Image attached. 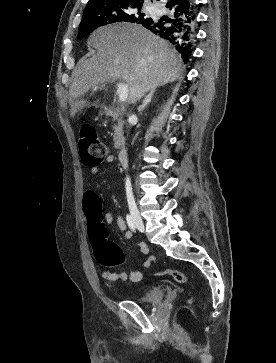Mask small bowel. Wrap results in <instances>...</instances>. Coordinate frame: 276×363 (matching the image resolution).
Here are the masks:
<instances>
[{
  "label": "small bowel",
  "instance_id": "1",
  "mask_svg": "<svg viewBox=\"0 0 276 363\" xmlns=\"http://www.w3.org/2000/svg\"><path fill=\"white\" fill-rule=\"evenodd\" d=\"M113 161V156L109 155L106 159L107 163H110ZM98 173L97 167H91L90 168V174L96 175ZM83 205L85 210L91 208L98 211L100 207V200L98 197V194L94 191H88L84 194V200ZM104 221L107 224L116 223L119 230L124 232V235L127 239L131 238L132 234L130 231L127 230V225L125 221L120 217L119 215H116L114 213L108 212L104 214ZM140 251L143 255H148L149 250L146 244L140 243L139 244ZM156 263V257L155 256H148L146 261L144 262V267L149 268L152 265ZM101 277L109 282H115V281H131V282H137L142 279L143 274L141 272H112L110 270H104L101 273Z\"/></svg>",
  "mask_w": 276,
  "mask_h": 363
}]
</instances>
